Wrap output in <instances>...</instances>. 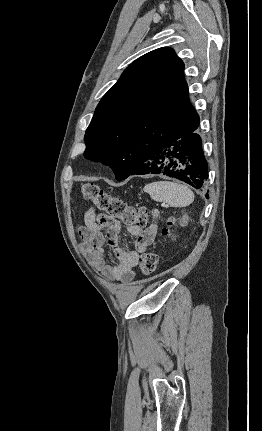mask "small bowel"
<instances>
[{
  "label": "small bowel",
  "instance_id": "1",
  "mask_svg": "<svg viewBox=\"0 0 262 431\" xmlns=\"http://www.w3.org/2000/svg\"><path fill=\"white\" fill-rule=\"evenodd\" d=\"M158 226L148 228L126 226L127 232L136 237L135 250L128 251L119 246L118 238L121 230L119 220L106 214L97 213L93 207L84 214V226L79 231L82 247L86 251L93 267L108 278L119 283H130L135 275V267L140 253L153 244ZM104 230L108 234H104ZM108 243L113 248L115 262L108 263L104 255V247Z\"/></svg>",
  "mask_w": 262,
  "mask_h": 431
}]
</instances>
